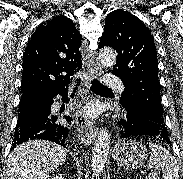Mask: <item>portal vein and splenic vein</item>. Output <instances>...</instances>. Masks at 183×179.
Listing matches in <instances>:
<instances>
[{"instance_id":"portal-vein-and-splenic-vein-1","label":"portal vein and splenic vein","mask_w":183,"mask_h":179,"mask_svg":"<svg viewBox=\"0 0 183 179\" xmlns=\"http://www.w3.org/2000/svg\"><path fill=\"white\" fill-rule=\"evenodd\" d=\"M156 174H157V173H155V172L149 173L150 176H155Z\"/></svg>"}]
</instances>
